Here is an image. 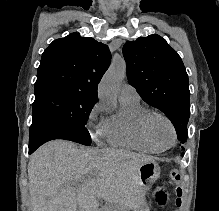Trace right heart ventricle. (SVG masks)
Masks as SVG:
<instances>
[{"label":"right heart ventricle","mask_w":219,"mask_h":211,"mask_svg":"<svg viewBox=\"0 0 219 211\" xmlns=\"http://www.w3.org/2000/svg\"><path fill=\"white\" fill-rule=\"evenodd\" d=\"M150 111L139 101L120 100L119 110L109 117L108 141L116 147L143 152H159L143 134L141 119Z\"/></svg>","instance_id":"1"}]
</instances>
